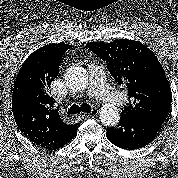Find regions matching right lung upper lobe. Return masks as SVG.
I'll list each match as a JSON object with an SVG mask.
<instances>
[{"mask_svg": "<svg viewBox=\"0 0 178 178\" xmlns=\"http://www.w3.org/2000/svg\"><path fill=\"white\" fill-rule=\"evenodd\" d=\"M71 45L49 44L33 52L23 63L14 83L12 110L20 131L35 145L53 149L77 131V124L62 119L49 95L61 58Z\"/></svg>", "mask_w": 178, "mask_h": 178, "instance_id": "cb5924a9", "label": "right lung upper lobe"}]
</instances>
